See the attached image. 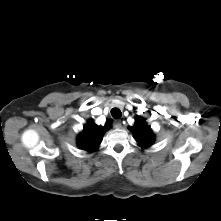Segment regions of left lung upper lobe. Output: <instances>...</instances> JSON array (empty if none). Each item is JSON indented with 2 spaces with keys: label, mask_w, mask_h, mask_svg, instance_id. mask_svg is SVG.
Returning <instances> with one entry per match:
<instances>
[{
  "label": "left lung upper lobe",
  "mask_w": 221,
  "mask_h": 221,
  "mask_svg": "<svg viewBox=\"0 0 221 221\" xmlns=\"http://www.w3.org/2000/svg\"><path fill=\"white\" fill-rule=\"evenodd\" d=\"M129 129L140 146L146 148L153 144L154 136L145 119L141 117L136 118L135 124L133 127H129Z\"/></svg>",
  "instance_id": "5c2ea615"
}]
</instances>
